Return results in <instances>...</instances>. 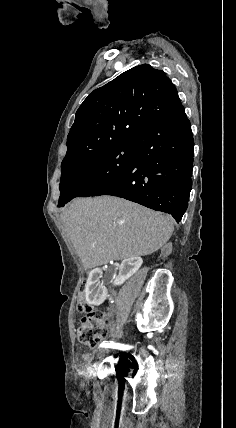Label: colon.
<instances>
[{"instance_id": "colon-1", "label": "colon", "mask_w": 236, "mask_h": 428, "mask_svg": "<svg viewBox=\"0 0 236 428\" xmlns=\"http://www.w3.org/2000/svg\"><path fill=\"white\" fill-rule=\"evenodd\" d=\"M86 285L82 283L79 287L77 307L86 315L81 319L77 328V340L83 345L95 348L108 333L107 316L104 312L95 310L85 299Z\"/></svg>"}]
</instances>
